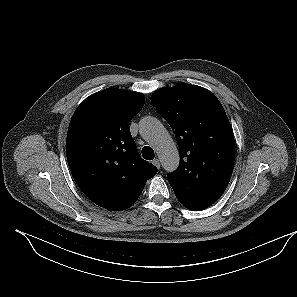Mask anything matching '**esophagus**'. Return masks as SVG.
Masks as SVG:
<instances>
[{"mask_svg":"<svg viewBox=\"0 0 297 297\" xmlns=\"http://www.w3.org/2000/svg\"><path fill=\"white\" fill-rule=\"evenodd\" d=\"M158 169H160V166H161V164H160V160L159 159H154L153 160V162H152Z\"/></svg>","mask_w":297,"mask_h":297,"instance_id":"1","label":"esophagus"}]
</instances>
